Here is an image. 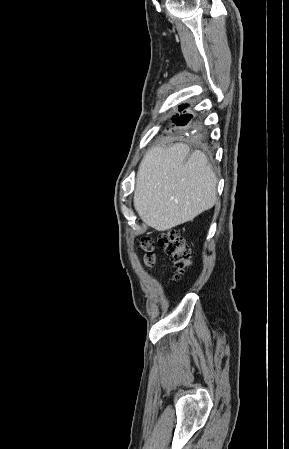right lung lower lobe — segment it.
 Returning a JSON list of instances; mask_svg holds the SVG:
<instances>
[{"mask_svg":"<svg viewBox=\"0 0 289 449\" xmlns=\"http://www.w3.org/2000/svg\"><path fill=\"white\" fill-rule=\"evenodd\" d=\"M186 107H187V105L179 106L180 109L181 108H186ZM191 117H192L191 115L185 114V115H182V116H180L178 118H173V122L176 123L179 126H184V125H186L189 122Z\"/></svg>","mask_w":289,"mask_h":449,"instance_id":"98d812e1","label":"right lung lower lobe"}]
</instances>
